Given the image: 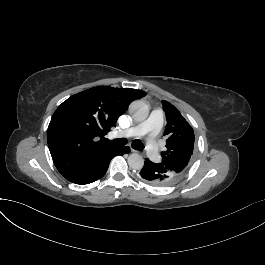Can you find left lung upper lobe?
I'll list each match as a JSON object with an SVG mask.
<instances>
[{
	"label": "left lung upper lobe",
	"mask_w": 265,
	"mask_h": 265,
	"mask_svg": "<svg viewBox=\"0 0 265 265\" xmlns=\"http://www.w3.org/2000/svg\"><path fill=\"white\" fill-rule=\"evenodd\" d=\"M166 113L167 125L164 135L166 139V152H162V164L171 172L177 181L187 171L192 160L194 146V132L179 110L171 103L162 101Z\"/></svg>",
	"instance_id": "1"
}]
</instances>
